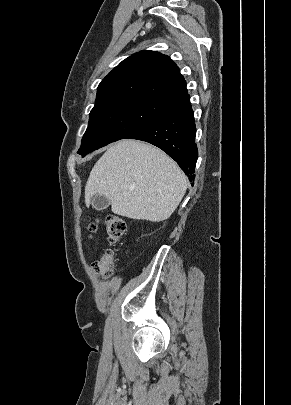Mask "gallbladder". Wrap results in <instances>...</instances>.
<instances>
[{"label":"gallbladder","instance_id":"gallbladder-1","mask_svg":"<svg viewBox=\"0 0 291 405\" xmlns=\"http://www.w3.org/2000/svg\"><path fill=\"white\" fill-rule=\"evenodd\" d=\"M91 203L92 207L99 211L108 208L110 205V201L106 197L99 195H95Z\"/></svg>","mask_w":291,"mask_h":405}]
</instances>
